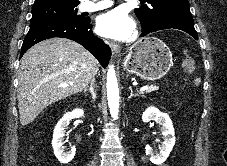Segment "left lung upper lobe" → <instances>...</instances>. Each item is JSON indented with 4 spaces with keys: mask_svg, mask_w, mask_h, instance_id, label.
<instances>
[{
    "mask_svg": "<svg viewBox=\"0 0 227 166\" xmlns=\"http://www.w3.org/2000/svg\"><path fill=\"white\" fill-rule=\"evenodd\" d=\"M150 6L135 9L142 27L149 29L160 20L179 13H190L188 0H146ZM191 14V13H190Z\"/></svg>",
    "mask_w": 227,
    "mask_h": 166,
    "instance_id": "5c2ea615",
    "label": "left lung upper lobe"
}]
</instances>
